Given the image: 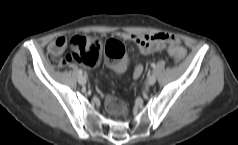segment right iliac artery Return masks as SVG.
<instances>
[{
	"instance_id": "right-iliac-artery-1",
	"label": "right iliac artery",
	"mask_w": 238,
	"mask_h": 145,
	"mask_svg": "<svg viewBox=\"0 0 238 145\" xmlns=\"http://www.w3.org/2000/svg\"><path fill=\"white\" fill-rule=\"evenodd\" d=\"M78 74L79 75H82L83 74V71L80 69V70H78Z\"/></svg>"
}]
</instances>
